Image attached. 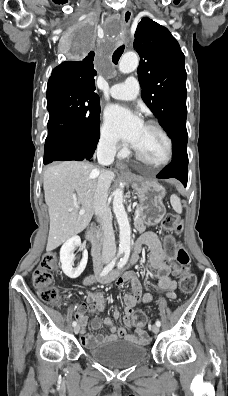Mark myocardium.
Returning <instances> with one entry per match:
<instances>
[{
	"label": "myocardium",
	"instance_id": "1",
	"mask_svg": "<svg viewBox=\"0 0 228 396\" xmlns=\"http://www.w3.org/2000/svg\"><path fill=\"white\" fill-rule=\"evenodd\" d=\"M145 125L156 129L157 131H159L163 135V137L165 138V140L167 142V146H168L167 156L160 163H152V162L148 161L146 158H144L140 154V152L134 147L135 156L141 163H143V164H145L147 166H150V167H153V168H162V167L168 165L171 162L172 158H173V141H172L170 135L168 134V132L160 124H158L157 122L150 120V121H147Z\"/></svg>",
	"mask_w": 228,
	"mask_h": 396
}]
</instances>
